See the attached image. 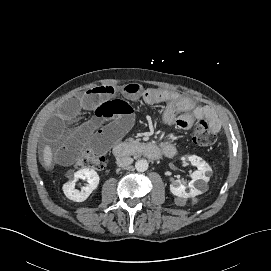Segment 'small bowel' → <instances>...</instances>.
I'll use <instances>...</instances> for the list:
<instances>
[{
    "mask_svg": "<svg viewBox=\"0 0 271 271\" xmlns=\"http://www.w3.org/2000/svg\"><path fill=\"white\" fill-rule=\"evenodd\" d=\"M127 100L143 99L147 104L166 103L162 120L167 125L176 124L188 129L194 120L206 118L211 128L218 132L220 122L214 110L208 106H197L193 99L176 92L157 88H144L130 83L122 88ZM112 86H97L74 95L61 103L57 112L46 124V135L52 144L54 161L63 166L71 165L80 150L88 144L93 150L105 153L110 144L121 138L133 124L131 106L116 97ZM82 112H91L92 117L75 130L67 125ZM183 121L184 127L178 122ZM166 156H174L176 149L169 140L161 144Z\"/></svg>",
    "mask_w": 271,
    "mask_h": 271,
    "instance_id": "1",
    "label": "small bowel"
}]
</instances>
